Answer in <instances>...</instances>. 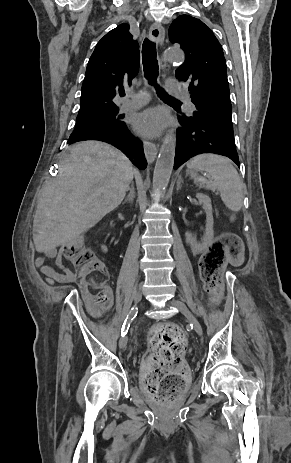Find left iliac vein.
<instances>
[{"instance_id":"1","label":"left iliac vein","mask_w":291,"mask_h":463,"mask_svg":"<svg viewBox=\"0 0 291 463\" xmlns=\"http://www.w3.org/2000/svg\"><path fill=\"white\" fill-rule=\"evenodd\" d=\"M170 305L178 308L180 312L187 318V320L191 323L193 326L194 331L199 335L202 336L203 330L201 327V324L197 320V318L192 314V312L189 310V308L186 306V304L182 301L179 300H171L169 302Z\"/></svg>"}]
</instances>
